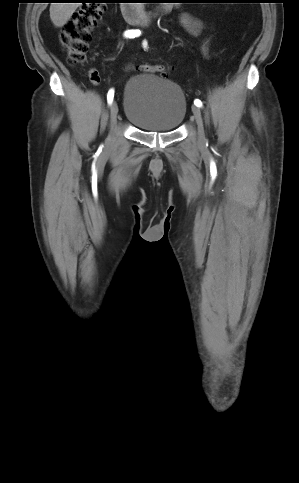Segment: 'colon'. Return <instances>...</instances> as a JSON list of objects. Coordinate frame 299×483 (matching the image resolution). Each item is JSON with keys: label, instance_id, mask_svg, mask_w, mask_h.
Listing matches in <instances>:
<instances>
[{"label": "colon", "instance_id": "obj_1", "mask_svg": "<svg viewBox=\"0 0 299 483\" xmlns=\"http://www.w3.org/2000/svg\"><path fill=\"white\" fill-rule=\"evenodd\" d=\"M89 3L74 12L60 34L61 44L67 50L68 62L71 65H78L85 61L92 31L105 11L104 0H93ZM138 68L161 77L168 76L167 69L162 65L142 63Z\"/></svg>", "mask_w": 299, "mask_h": 483}]
</instances>
